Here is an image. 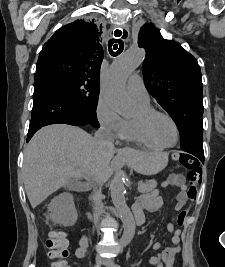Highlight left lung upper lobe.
Returning <instances> with one entry per match:
<instances>
[{"label": "left lung upper lobe", "instance_id": "5c2ea615", "mask_svg": "<svg viewBox=\"0 0 225 267\" xmlns=\"http://www.w3.org/2000/svg\"><path fill=\"white\" fill-rule=\"evenodd\" d=\"M138 45L146 49V88L176 123L181 148L203 149V84L193 55L165 40L152 23L141 27Z\"/></svg>", "mask_w": 225, "mask_h": 267}]
</instances>
